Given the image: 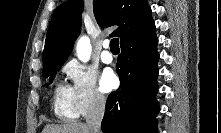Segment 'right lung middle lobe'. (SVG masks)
Masks as SVG:
<instances>
[{
	"instance_id": "dd1d6c3e",
	"label": "right lung middle lobe",
	"mask_w": 221,
	"mask_h": 133,
	"mask_svg": "<svg viewBox=\"0 0 221 133\" xmlns=\"http://www.w3.org/2000/svg\"><path fill=\"white\" fill-rule=\"evenodd\" d=\"M63 63H54V64H49L44 66V70H43V76L45 78L50 76V81L52 82L56 71L62 66Z\"/></svg>"
}]
</instances>
